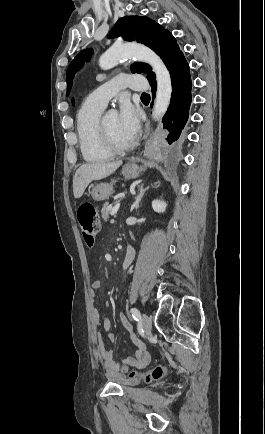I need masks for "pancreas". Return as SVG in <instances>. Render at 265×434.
I'll return each mask as SVG.
<instances>
[{"label":"pancreas","mask_w":265,"mask_h":434,"mask_svg":"<svg viewBox=\"0 0 265 434\" xmlns=\"http://www.w3.org/2000/svg\"><path fill=\"white\" fill-rule=\"evenodd\" d=\"M110 214H111V208H109V202H105V204L101 210L102 220H104V222H107V220H109Z\"/></svg>","instance_id":"1"}]
</instances>
